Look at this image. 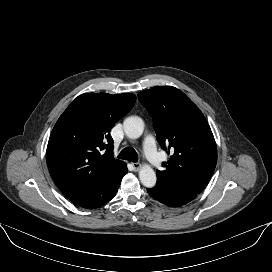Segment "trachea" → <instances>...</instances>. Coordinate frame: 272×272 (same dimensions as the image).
Instances as JSON below:
<instances>
[{
	"mask_svg": "<svg viewBox=\"0 0 272 272\" xmlns=\"http://www.w3.org/2000/svg\"><path fill=\"white\" fill-rule=\"evenodd\" d=\"M120 159L129 160L131 162L138 161L137 152L132 147L124 148L118 155Z\"/></svg>",
	"mask_w": 272,
	"mask_h": 272,
	"instance_id": "1",
	"label": "trachea"
}]
</instances>
